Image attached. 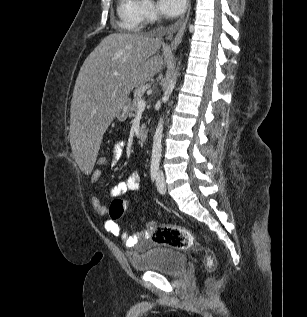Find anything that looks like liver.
Listing matches in <instances>:
<instances>
[{
  "mask_svg": "<svg viewBox=\"0 0 307 317\" xmlns=\"http://www.w3.org/2000/svg\"><path fill=\"white\" fill-rule=\"evenodd\" d=\"M161 45L140 33H112L84 61L70 115L72 153L83 175H92L102 137L130 92L162 71Z\"/></svg>",
  "mask_w": 307,
  "mask_h": 317,
  "instance_id": "obj_1",
  "label": "liver"
}]
</instances>
